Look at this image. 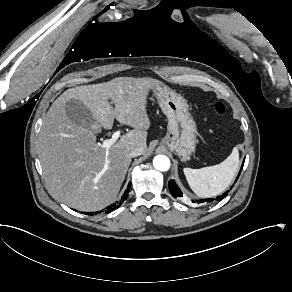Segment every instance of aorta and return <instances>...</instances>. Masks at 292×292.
Returning <instances> with one entry per match:
<instances>
[{
  "instance_id": "aorta-1",
  "label": "aorta",
  "mask_w": 292,
  "mask_h": 292,
  "mask_svg": "<svg viewBox=\"0 0 292 292\" xmlns=\"http://www.w3.org/2000/svg\"><path fill=\"white\" fill-rule=\"evenodd\" d=\"M153 165L160 172L168 171L170 168V160L167 156L158 155L154 158Z\"/></svg>"
}]
</instances>
